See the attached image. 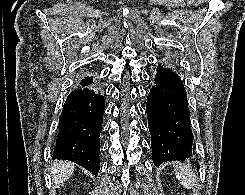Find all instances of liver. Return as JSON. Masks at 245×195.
Listing matches in <instances>:
<instances>
[{
	"instance_id": "6515ba94",
	"label": "liver",
	"mask_w": 245,
	"mask_h": 195,
	"mask_svg": "<svg viewBox=\"0 0 245 195\" xmlns=\"http://www.w3.org/2000/svg\"><path fill=\"white\" fill-rule=\"evenodd\" d=\"M74 171V163L70 161H57L51 168L52 179L55 187L59 188L70 178Z\"/></svg>"
}]
</instances>
